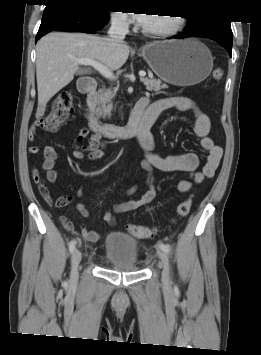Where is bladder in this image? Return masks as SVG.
I'll use <instances>...</instances> for the list:
<instances>
[{
  "mask_svg": "<svg viewBox=\"0 0 261 355\" xmlns=\"http://www.w3.org/2000/svg\"><path fill=\"white\" fill-rule=\"evenodd\" d=\"M107 261L116 269L132 272L137 270V242L119 232L109 233L106 238Z\"/></svg>",
  "mask_w": 261,
  "mask_h": 355,
  "instance_id": "1",
  "label": "bladder"
}]
</instances>
